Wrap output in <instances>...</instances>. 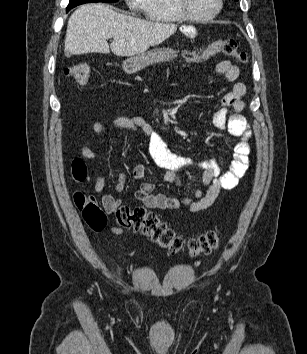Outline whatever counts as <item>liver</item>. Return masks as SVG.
I'll return each instance as SVG.
<instances>
[{
	"mask_svg": "<svg viewBox=\"0 0 307 354\" xmlns=\"http://www.w3.org/2000/svg\"><path fill=\"white\" fill-rule=\"evenodd\" d=\"M177 30L173 23H158L130 17L100 4L78 7L70 16L65 38V54L110 52L121 57L144 53L168 39ZM113 38L109 44L107 39Z\"/></svg>",
	"mask_w": 307,
	"mask_h": 354,
	"instance_id": "1",
	"label": "liver"
}]
</instances>
